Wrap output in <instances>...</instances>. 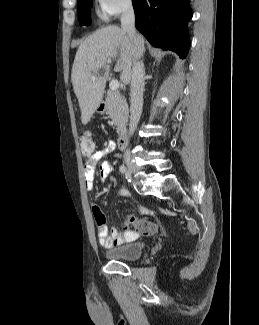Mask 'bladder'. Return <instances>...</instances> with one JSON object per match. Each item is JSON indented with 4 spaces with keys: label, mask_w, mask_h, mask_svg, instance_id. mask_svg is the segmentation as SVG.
I'll use <instances>...</instances> for the list:
<instances>
[{
    "label": "bladder",
    "mask_w": 259,
    "mask_h": 325,
    "mask_svg": "<svg viewBox=\"0 0 259 325\" xmlns=\"http://www.w3.org/2000/svg\"><path fill=\"white\" fill-rule=\"evenodd\" d=\"M144 243L135 241L112 247L105 251V257L112 261H135L144 251Z\"/></svg>",
    "instance_id": "obj_1"
}]
</instances>
